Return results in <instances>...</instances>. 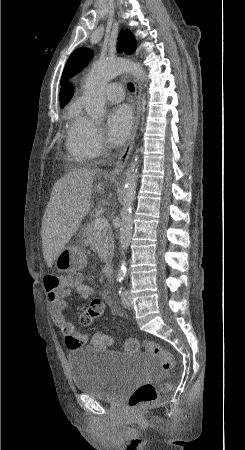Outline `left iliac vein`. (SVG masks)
<instances>
[{"instance_id":"obj_1","label":"left iliac vein","mask_w":245,"mask_h":450,"mask_svg":"<svg viewBox=\"0 0 245 450\" xmlns=\"http://www.w3.org/2000/svg\"><path fill=\"white\" fill-rule=\"evenodd\" d=\"M121 304H122V306L125 307V308H130V307L132 306L131 298H130V292H129L128 290H125V291L122 293V296H121Z\"/></svg>"}]
</instances>
